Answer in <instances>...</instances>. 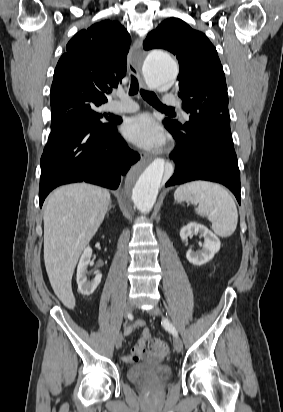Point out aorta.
<instances>
[{
    "instance_id": "obj_1",
    "label": "aorta",
    "mask_w": 283,
    "mask_h": 412,
    "mask_svg": "<svg viewBox=\"0 0 283 412\" xmlns=\"http://www.w3.org/2000/svg\"><path fill=\"white\" fill-rule=\"evenodd\" d=\"M142 71L147 85L152 89L170 87L178 75V67L171 56L158 50L152 51L146 57ZM164 172V160L156 159L149 165L129 173L127 189L141 213H148L153 208Z\"/></svg>"
}]
</instances>
